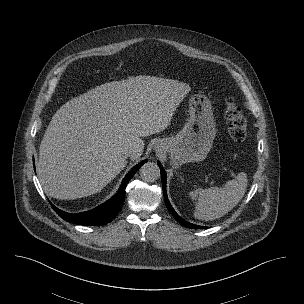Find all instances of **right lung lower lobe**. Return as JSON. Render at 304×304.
Masks as SVG:
<instances>
[{
	"label": "right lung lower lobe",
	"mask_w": 304,
	"mask_h": 304,
	"mask_svg": "<svg viewBox=\"0 0 304 304\" xmlns=\"http://www.w3.org/2000/svg\"><path fill=\"white\" fill-rule=\"evenodd\" d=\"M147 160L140 162L138 165L134 166L125 178L122 181V184L118 190V192L111 199L107 200L100 206L81 213H67L64 212L55 206L52 207L55 212L63 218L65 221L79 224V225H90V226H100L111 222L120 209L123 206L125 200V188L129 180L134 176V174L138 171V169L145 163Z\"/></svg>",
	"instance_id": "1"
}]
</instances>
